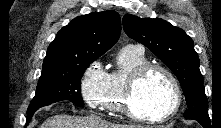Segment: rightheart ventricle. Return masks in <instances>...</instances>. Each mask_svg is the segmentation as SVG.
Returning a JSON list of instances; mask_svg holds the SVG:
<instances>
[{
	"label": "right heart ventricle",
	"mask_w": 221,
	"mask_h": 128,
	"mask_svg": "<svg viewBox=\"0 0 221 128\" xmlns=\"http://www.w3.org/2000/svg\"><path fill=\"white\" fill-rule=\"evenodd\" d=\"M147 63L144 51L134 45L123 47L116 55L111 70L107 73L105 87L100 98L102 111L110 114L124 113L125 85L132 72Z\"/></svg>",
	"instance_id": "obj_1"
}]
</instances>
